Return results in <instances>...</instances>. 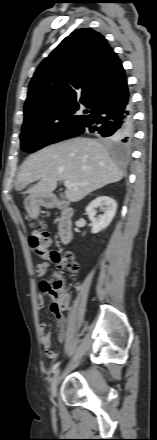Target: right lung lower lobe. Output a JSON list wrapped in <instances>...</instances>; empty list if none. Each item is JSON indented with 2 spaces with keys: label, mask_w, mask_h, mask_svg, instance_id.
I'll use <instances>...</instances> for the list:
<instances>
[{
  "label": "right lung lower lobe",
  "mask_w": 157,
  "mask_h": 440,
  "mask_svg": "<svg viewBox=\"0 0 157 440\" xmlns=\"http://www.w3.org/2000/svg\"><path fill=\"white\" fill-rule=\"evenodd\" d=\"M85 126L90 132H97L114 143L130 145L133 141V119L129 98L102 109L92 116Z\"/></svg>",
  "instance_id": "obj_1"
}]
</instances>
